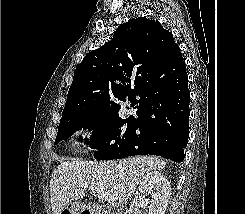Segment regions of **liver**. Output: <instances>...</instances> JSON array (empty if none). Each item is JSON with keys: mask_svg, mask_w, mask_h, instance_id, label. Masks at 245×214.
<instances>
[{"mask_svg": "<svg viewBox=\"0 0 245 214\" xmlns=\"http://www.w3.org/2000/svg\"><path fill=\"white\" fill-rule=\"evenodd\" d=\"M165 166L164 160L154 156L110 162L63 161L54 169L50 181L53 214H61L71 201L85 196L80 184L88 185L92 192L115 195L120 204H126L148 173Z\"/></svg>", "mask_w": 245, "mask_h": 214, "instance_id": "obj_1", "label": "liver"}]
</instances>
